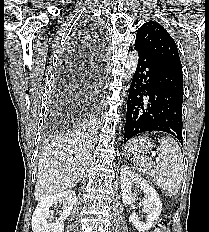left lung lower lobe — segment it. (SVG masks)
I'll return each mask as SVG.
<instances>
[{
    "label": "left lung lower lobe",
    "instance_id": "obj_1",
    "mask_svg": "<svg viewBox=\"0 0 209 232\" xmlns=\"http://www.w3.org/2000/svg\"><path fill=\"white\" fill-rule=\"evenodd\" d=\"M135 49L139 59L127 100L124 143L143 132L163 131L183 144L182 71L165 66L136 45Z\"/></svg>",
    "mask_w": 209,
    "mask_h": 232
}]
</instances>
